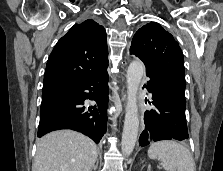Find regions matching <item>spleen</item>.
Returning <instances> with one entry per match:
<instances>
[{
    "label": "spleen",
    "instance_id": "obj_1",
    "mask_svg": "<svg viewBox=\"0 0 223 171\" xmlns=\"http://www.w3.org/2000/svg\"><path fill=\"white\" fill-rule=\"evenodd\" d=\"M148 157L159 160L166 171H196L190 151L174 141H159L148 149Z\"/></svg>",
    "mask_w": 223,
    "mask_h": 171
}]
</instances>
